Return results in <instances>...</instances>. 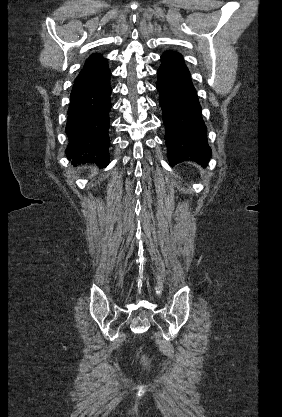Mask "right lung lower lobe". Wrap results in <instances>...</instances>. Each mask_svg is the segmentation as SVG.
Returning a JSON list of instances; mask_svg holds the SVG:
<instances>
[{"label": "right lung lower lobe", "mask_w": 282, "mask_h": 417, "mask_svg": "<svg viewBox=\"0 0 282 417\" xmlns=\"http://www.w3.org/2000/svg\"><path fill=\"white\" fill-rule=\"evenodd\" d=\"M110 77L107 60L102 59L84 67L75 80L66 126V154L74 165L95 163L103 168L109 163Z\"/></svg>", "instance_id": "obj_1"}]
</instances>
